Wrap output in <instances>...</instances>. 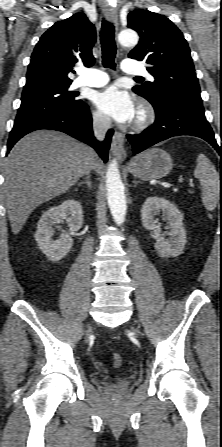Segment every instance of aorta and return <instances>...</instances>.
I'll use <instances>...</instances> for the list:
<instances>
[{
  "mask_svg": "<svg viewBox=\"0 0 222 447\" xmlns=\"http://www.w3.org/2000/svg\"><path fill=\"white\" fill-rule=\"evenodd\" d=\"M118 40L123 46H135L138 43V34L132 29L119 33ZM107 200L110 212L117 225H121L126 216V198L118 163L116 159L110 161L106 173Z\"/></svg>",
  "mask_w": 222,
  "mask_h": 447,
  "instance_id": "obj_1",
  "label": "aorta"
}]
</instances>
